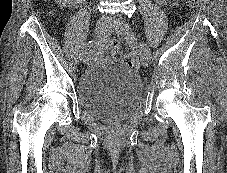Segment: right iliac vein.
I'll return each mask as SVG.
<instances>
[{
	"instance_id": "1",
	"label": "right iliac vein",
	"mask_w": 227,
	"mask_h": 173,
	"mask_svg": "<svg viewBox=\"0 0 227 173\" xmlns=\"http://www.w3.org/2000/svg\"><path fill=\"white\" fill-rule=\"evenodd\" d=\"M108 27V20L105 17H100L97 21L95 33H94V41H98L102 36L104 37V33ZM96 46L93 45L92 49L88 51L86 55H84L81 60L84 64H87L92 57L93 53L96 51Z\"/></svg>"
}]
</instances>
